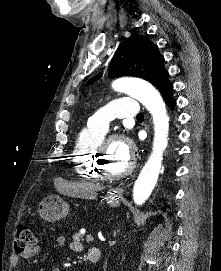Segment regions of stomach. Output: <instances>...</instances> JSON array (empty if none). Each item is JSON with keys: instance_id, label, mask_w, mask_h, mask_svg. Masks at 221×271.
<instances>
[{"instance_id": "1", "label": "stomach", "mask_w": 221, "mask_h": 271, "mask_svg": "<svg viewBox=\"0 0 221 271\" xmlns=\"http://www.w3.org/2000/svg\"><path fill=\"white\" fill-rule=\"evenodd\" d=\"M106 199L111 207H118L120 205V193L115 191V189H111ZM68 211V203L63 201V197H44L42 207L39 209L41 217L47 219V221H55L59 217H64Z\"/></svg>"}]
</instances>
